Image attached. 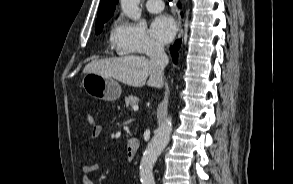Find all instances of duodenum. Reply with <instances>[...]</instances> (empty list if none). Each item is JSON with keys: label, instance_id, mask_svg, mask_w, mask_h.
Returning <instances> with one entry per match:
<instances>
[{"label": "duodenum", "instance_id": "410a0bca", "mask_svg": "<svg viewBox=\"0 0 293 184\" xmlns=\"http://www.w3.org/2000/svg\"><path fill=\"white\" fill-rule=\"evenodd\" d=\"M140 146L137 138H131L127 142V157L128 160H133Z\"/></svg>", "mask_w": 293, "mask_h": 184}]
</instances>
